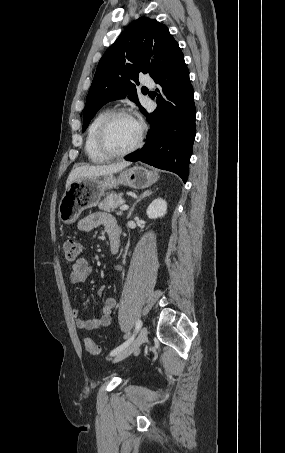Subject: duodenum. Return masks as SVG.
I'll list each match as a JSON object with an SVG mask.
<instances>
[{"instance_id": "410a0bca", "label": "duodenum", "mask_w": 285, "mask_h": 453, "mask_svg": "<svg viewBox=\"0 0 285 453\" xmlns=\"http://www.w3.org/2000/svg\"><path fill=\"white\" fill-rule=\"evenodd\" d=\"M119 249V242L118 241H111L110 242V251L112 254L117 253Z\"/></svg>"}]
</instances>
